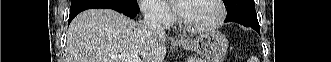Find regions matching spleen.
<instances>
[{
  "instance_id": "obj_1",
  "label": "spleen",
  "mask_w": 331,
  "mask_h": 62,
  "mask_svg": "<svg viewBox=\"0 0 331 62\" xmlns=\"http://www.w3.org/2000/svg\"><path fill=\"white\" fill-rule=\"evenodd\" d=\"M252 60H256V59H253V58H252L250 62H253Z\"/></svg>"
}]
</instances>
